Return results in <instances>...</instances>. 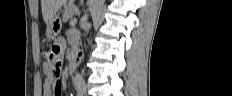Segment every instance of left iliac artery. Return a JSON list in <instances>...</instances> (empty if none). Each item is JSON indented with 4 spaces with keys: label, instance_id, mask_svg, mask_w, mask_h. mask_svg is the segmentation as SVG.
<instances>
[{
    "label": "left iliac artery",
    "instance_id": "obj_1",
    "mask_svg": "<svg viewBox=\"0 0 232 96\" xmlns=\"http://www.w3.org/2000/svg\"><path fill=\"white\" fill-rule=\"evenodd\" d=\"M80 89H81V93H82V94L85 93V91H86L85 85H81V86H80Z\"/></svg>",
    "mask_w": 232,
    "mask_h": 96
}]
</instances>
